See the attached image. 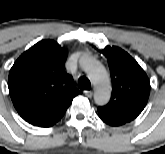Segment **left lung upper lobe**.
Masks as SVG:
<instances>
[{
    "instance_id": "left-lung-upper-lobe-1",
    "label": "left lung upper lobe",
    "mask_w": 165,
    "mask_h": 154,
    "mask_svg": "<svg viewBox=\"0 0 165 154\" xmlns=\"http://www.w3.org/2000/svg\"><path fill=\"white\" fill-rule=\"evenodd\" d=\"M100 51L108 60L112 96L107 105L98 107L99 116L122 123L130 122L142 112L147 103L149 79L140 65L124 50L107 46Z\"/></svg>"
}]
</instances>
